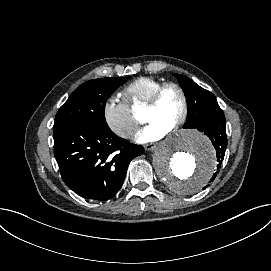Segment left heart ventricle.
Returning <instances> with one entry per match:
<instances>
[{"instance_id": "1", "label": "left heart ventricle", "mask_w": 271, "mask_h": 271, "mask_svg": "<svg viewBox=\"0 0 271 271\" xmlns=\"http://www.w3.org/2000/svg\"><path fill=\"white\" fill-rule=\"evenodd\" d=\"M183 109L184 102L180 91L170 87L164 92L158 108L145 110V122H155L171 130L175 121L181 116Z\"/></svg>"}]
</instances>
